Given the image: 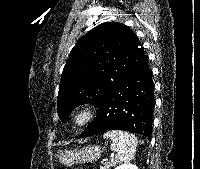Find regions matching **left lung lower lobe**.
I'll return each instance as SVG.
<instances>
[{
  "label": "left lung lower lobe",
  "instance_id": "obj_1",
  "mask_svg": "<svg viewBox=\"0 0 200 169\" xmlns=\"http://www.w3.org/2000/svg\"><path fill=\"white\" fill-rule=\"evenodd\" d=\"M155 105L152 73L145 56L98 105L97 117L78 138L125 130L150 139Z\"/></svg>",
  "mask_w": 200,
  "mask_h": 169
}]
</instances>
